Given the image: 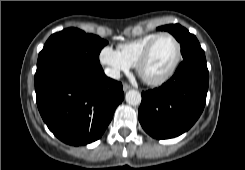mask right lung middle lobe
Listing matches in <instances>:
<instances>
[{"mask_svg": "<svg viewBox=\"0 0 245 170\" xmlns=\"http://www.w3.org/2000/svg\"><path fill=\"white\" fill-rule=\"evenodd\" d=\"M107 41L77 28L53 34L39 53L35 81L68 63L100 65L99 53Z\"/></svg>", "mask_w": 245, "mask_h": 170, "instance_id": "1", "label": "right lung middle lobe"}]
</instances>
